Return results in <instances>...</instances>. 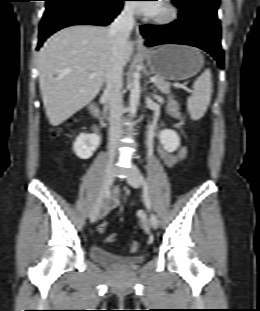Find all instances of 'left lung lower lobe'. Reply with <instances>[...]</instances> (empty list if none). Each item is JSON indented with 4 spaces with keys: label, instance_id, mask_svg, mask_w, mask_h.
Segmentation results:
<instances>
[{
    "label": "left lung lower lobe",
    "instance_id": "left-lung-lower-lobe-1",
    "mask_svg": "<svg viewBox=\"0 0 260 311\" xmlns=\"http://www.w3.org/2000/svg\"><path fill=\"white\" fill-rule=\"evenodd\" d=\"M147 46L160 44H186L210 53L223 67L224 53L221 49V27L203 14L180 15L169 25H143L140 27Z\"/></svg>",
    "mask_w": 260,
    "mask_h": 311
}]
</instances>
